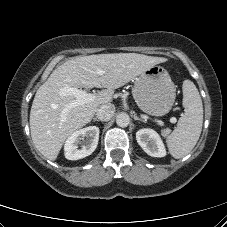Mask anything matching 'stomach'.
Masks as SVG:
<instances>
[{"label":"stomach","mask_w":227,"mask_h":227,"mask_svg":"<svg viewBox=\"0 0 227 227\" xmlns=\"http://www.w3.org/2000/svg\"><path fill=\"white\" fill-rule=\"evenodd\" d=\"M133 97L138 107L153 116L170 112L176 98V86L166 69L152 66L136 78Z\"/></svg>","instance_id":"1"}]
</instances>
